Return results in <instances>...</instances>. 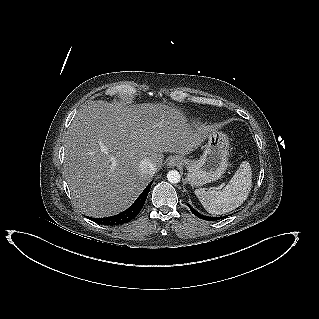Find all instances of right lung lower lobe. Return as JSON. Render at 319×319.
Masks as SVG:
<instances>
[{"mask_svg": "<svg viewBox=\"0 0 319 319\" xmlns=\"http://www.w3.org/2000/svg\"><path fill=\"white\" fill-rule=\"evenodd\" d=\"M152 182L144 189L141 195L136 199V201L125 211L121 212L118 215H114L106 218H93L92 220L103 225H120L126 223L133 218H135L138 213L141 211L147 195L150 191Z\"/></svg>", "mask_w": 319, "mask_h": 319, "instance_id": "obj_1", "label": "right lung lower lobe"}]
</instances>
